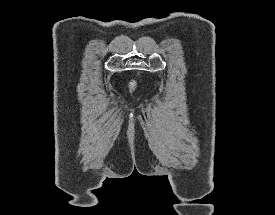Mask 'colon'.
Here are the masks:
<instances>
[{
    "label": "colon",
    "instance_id": "obj_1",
    "mask_svg": "<svg viewBox=\"0 0 275 215\" xmlns=\"http://www.w3.org/2000/svg\"><path fill=\"white\" fill-rule=\"evenodd\" d=\"M131 87L133 88V87H134V85L132 84V85H131Z\"/></svg>",
    "mask_w": 275,
    "mask_h": 215
}]
</instances>
